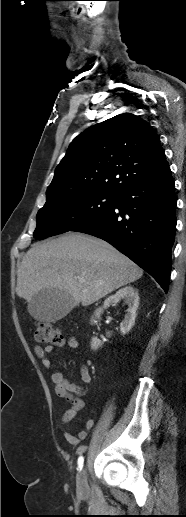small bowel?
Returning <instances> with one entry per match:
<instances>
[{"label": "small bowel", "instance_id": "small-bowel-1", "mask_svg": "<svg viewBox=\"0 0 186 517\" xmlns=\"http://www.w3.org/2000/svg\"><path fill=\"white\" fill-rule=\"evenodd\" d=\"M65 343L73 349L79 347V341L75 336H68L65 340L60 341V345ZM33 350L36 357L41 361L43 366L46 369H49L51 367V362L48 358V354L53 350V346L41 347L39 345H35ZM80 373L82 381L85 384H89L91 382V374L88 365L83 364L81 366ZM51 378L54 383L55 393L57 396L72 402V406L68 408L62 415V422L64 424H68L75 418L78 411H80L84 406V402L81 399L75 397V395L80 392L81 387L76 383L69 382L59 371H53ZM94 425V420H88L85 424V429L80 430L77 435H73L70 431H66L64 433V437L69 444L78 445L80 441H83L87 438L88 432L94 427Z\"/></svg>", "mask_w": 186, "mask_h": 517}]
</instances>
